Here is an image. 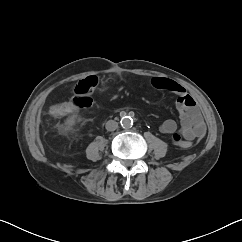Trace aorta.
<instances>
[{"label":"aorta","mask_w":242,"mask_h":242,"mask_svg":"<svg viewBox=\"0 0 242 242\" xmlns=\"http://www.w3.org/2000/svg\"><path fill=\"white\" fill-rule=\"evenodd\" d=\"M132 123H133V120L130 116H124L121 119V124L124 126L132 125Z\"/></svg>","instance_id":"obj_1"}]
</instances>
